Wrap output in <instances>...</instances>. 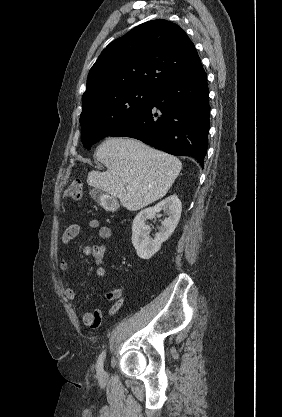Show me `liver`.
<instances>
[{
  "mask_svg": "<svg viewBox=\"0 0 282 417\" xmlns=\"http://www.w3.org/2000/svg\"><path fill=\"white\" fill-rule=\"evenodd\" d=\"M97 158L107 170L88 172V184L118 196L128 211H139L162 198L182 168L176 156L128 136L104 140L97 150Z\"/></svg>",
  "mask_w": 282,
  "mask_h": 417,
  "instance_id": "1",
  "label": "liver"
}]
</instances>
